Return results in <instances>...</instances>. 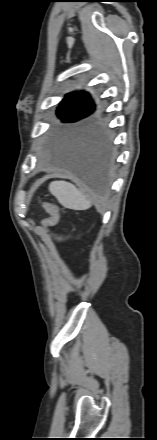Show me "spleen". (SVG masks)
Returning <instances> with one entry per match:
<instances>
[{"mask_svg":"<svg viewBox=\"0 0 157 440\" xmlns=\"http://www.w3.org/2000/svg\"><path fill=\"white\" fill-rule=\"evenodd\" d=\"M49 191L65 208L82 211L92 206L91 201L69 182L53 181L49 185Z\"/></svg>","mask_w":157,"mask_h":440,"instance_id":"spleen-1","label":"spleen"}]
</instances>
